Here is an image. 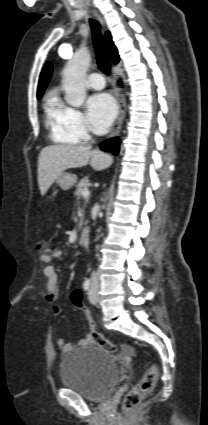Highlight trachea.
I'll return each mask as SVG.
<instances>
[{
	"label": "trachea",
	"instance_id": "3493384b",
	"mask_svg": "<svg viewBox=\"0 0 208 425\" xmlns=\"http://www.w3.org/2000/svg\"><path fill=\"white\" fill-rule=\"evenodd\" d=\"M92 35H93V44L96 54L97 63L99 65V69L109 75L110 74V63L107 58L106 49L104 46V42L102 39L101 31H100V24L98 21L94 19L89 20Z\"/></svg>",
	"mask_w": 208,
	"mask_h": 425
}]
</instances>
